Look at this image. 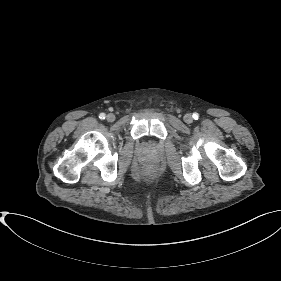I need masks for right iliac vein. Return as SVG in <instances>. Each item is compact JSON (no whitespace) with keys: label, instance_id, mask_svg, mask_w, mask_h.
I'll return each mask as SVG.
<instances>
[{"label":"right iliac vein","instance_id":"1","mask_svg":"<svg viewBox=\"0 0 281 281\" xmlns=\"http://www.w3.org/2000/svg\"><path fill=\"white\" fill-rule=\"evenodd\" d=\"M108 122H113L115 120V115L110 113L106 116Z\"/></svg>","mask_w":281,"mask_h":281}]
</instances>
